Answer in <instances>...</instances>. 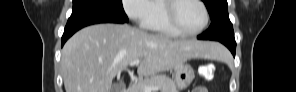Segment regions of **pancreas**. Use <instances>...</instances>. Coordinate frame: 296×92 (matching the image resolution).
<instances>
[{
    "instance_id": "1",
    "label": "pancreas",
    "mask_w": 296,
    "mask_h": 92,
    "mask_svg": "<svg viewBox=\"0 0 296 92\" xmlns=\"http://www.w3.org/2000/svg\"><path fill=\"white\" fill-rule=\"evenodd\" d=\"M144 86H158L159 92H179L175 81L162 74L146 77L138 81L132 86L131 92H144Z\"/></svg>"
}]
</instances>
